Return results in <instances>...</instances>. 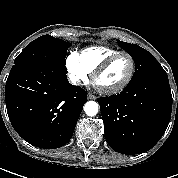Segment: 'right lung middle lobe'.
Masks as SVG:
<instances>
[{
  "mask_svg": "<svg viewBox=\"0 0 178 178\" xmlns=\"http://www.w3.org/2000/svg\"><path fill=\"white\" fill-rule=\"evenodd\" d=\"M70 43L50 35H43L31 43L16 57L12 68L19 65H48L56 64L63 72L65 67L67 50Z\"/></svg>",
  "mask_w": 178,
  "mask_h": 178,
  "instance_id": "1",
  "label": "right lung middle lobe"
}]
</instances>
